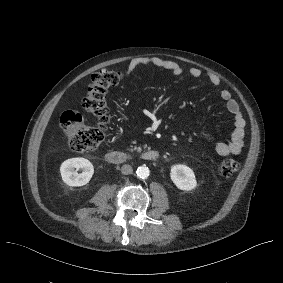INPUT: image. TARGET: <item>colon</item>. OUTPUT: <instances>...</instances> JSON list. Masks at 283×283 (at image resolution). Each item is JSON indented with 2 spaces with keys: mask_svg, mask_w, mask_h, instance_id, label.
<instances>
[{
  "mask_svg": "<svg viewBox=\"0 0 283 283\" xmlns=\"http://www.w3.org/2000/svg\"><path fill=\"white\" fill-rule=\"evenodd\" d=\"M122 79L123 74L118 70L104 69L92 76L82 100V107L97 117L96 126L87 125L83 116L75 111H66L61 115V129L72 149L77 152H87L95 150L101 144L108 123L107 92L118 85ZM238 169L239 163L236 160L226 158L220 162L218 173L228 178L233 176Z\"/></svg>",
  "mask_w": 283,
  "mask_h": 283,
  "instance_id": "colon-1",
  "label": "colon"
}]
</instances>
